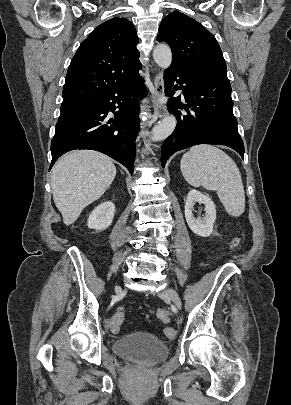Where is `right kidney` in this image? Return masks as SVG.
Returning <instances> with one entry per match:
<instances>
[{"instance_id": "ca27d5eb", "label": "right kidney", "mask_w": 291, "mask_h": 405, "mask_svg": "<svg viewBox=\"0 0 291 405\" xmlns=\"http://www.w3.org/2000/svg\"><path fill=\"white\" fill-rule=\"evenodd\" d=\"M115 205L111 201L99 204L89 215L88 227L97 231L108 228L113 221Z\"/></svg>"}]
</instances>
